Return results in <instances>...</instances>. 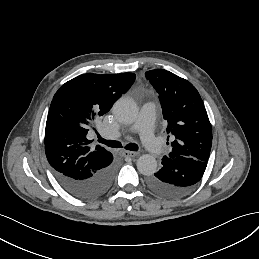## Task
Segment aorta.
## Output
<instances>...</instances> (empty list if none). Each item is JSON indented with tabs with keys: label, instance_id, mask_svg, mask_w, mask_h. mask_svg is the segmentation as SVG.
<instances>
[{
	"label": "aorta",
	"instance_id": "1",
	"mask_svg": "<svg viewBox=\"0 0 259 259\" xmlns=\"http://www.w3.org/2000/svg\"><path fill=\"white\" fill-rule=\"evenodd\" d=\"M113 113L120 122L130 124L137 117L138 107L132 99L121 97L115 102ZM136 166L138 171L145 176H151L157 171V161L150 154L141 155L137 160Z\"/></svg>",
	"mask_w": 259,
	"mask_h": 259
}]
</instances>
